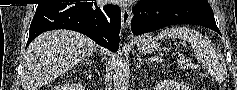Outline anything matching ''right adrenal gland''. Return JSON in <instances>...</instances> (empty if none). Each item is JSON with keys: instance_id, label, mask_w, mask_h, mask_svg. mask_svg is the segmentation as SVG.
Listing matches in <instances>:
<instances>
[{"instance_id": "obj_1", "label": "right adrenal gland", "mask_w": 237, "mask_h": 90, "mask_svg": "<svg viewBox=\"0 0 237 90\" xmlns=\"http://www.w3.org/2000/svg\"><path fill=\"white\" fill-rule=\"evenodd\" d=\"M92 60H93V58H91V56H88V58H86L84 64H92Z\"/></svg>"}]
</instances>
